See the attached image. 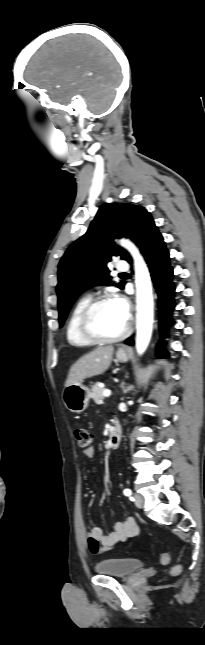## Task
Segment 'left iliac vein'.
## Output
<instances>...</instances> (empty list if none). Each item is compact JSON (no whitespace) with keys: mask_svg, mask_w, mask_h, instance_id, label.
I'll list each match as a JSON object with an SVG mask.
<instances>
[{"mask_svg":"<svg viewBox=\"0 0 205 645\" xmlns=\"http://www.w3.org/2000/svg\"><path fill=\"white\" fill-rule=\"evenodd\" d=\"M134 501H135V505H136L138 508H140V509H141V508H143V507H144V498H143V496H141V495H139V494H136V495L134 496Z\"/></svg>","mask_w":205,"mask_h":645,"instance_id":"1","label":"left iliac vein"}]
</instances>
